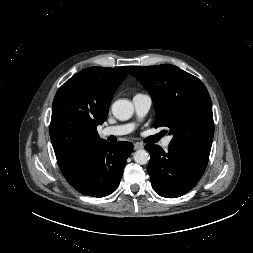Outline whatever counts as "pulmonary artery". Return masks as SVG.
<instances>
[{"label":"pulmonary artery","instance_id":"obj_1","mask_svg":"<svg viewBox=\"0 0 253 253\" xmlns=\"http://www.w3.org/2000/svg\"><path fill=\"white\" fill-rule=\"evenodd\" d=\"M132 101L137 118H144L151 108V97L148 94L138 93L133 97ZM135 126V123H127L122 125L105 127L101 130L100 135L102 137L125 135L132 132L135 129ZM170 142L171 137H166L163 140L162 145L164 149H168Z\"/></svg>","mask_w":253,"mask_h":253}]
</instances>
